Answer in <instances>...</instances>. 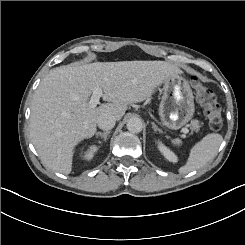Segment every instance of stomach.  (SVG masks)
Returning a JSON list of instances; mask_svg holds the SVG:
<instances>
[{"label": "stomach", "mask_w": 245, "mask_h": 245, "mask_svg": "<svg viewBox=\"0 0 245 245\" xmlns=\"http://www.w3.org/2000/svg\"><path fill=\"white\" fill-rule=\"evenodd\" d=\"M161 85L160 115L170 128H179L192 117L194 111V97L189 82L176 73L164 78Z\"/></svg>", "instance_id": "1"}]
</instances>
